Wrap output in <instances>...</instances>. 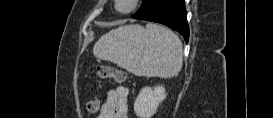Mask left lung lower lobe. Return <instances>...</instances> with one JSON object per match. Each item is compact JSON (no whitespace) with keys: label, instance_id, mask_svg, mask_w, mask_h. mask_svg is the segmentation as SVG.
<instances>
[{"label":"left lung lower lobe","instance_id":"obj_1","mask_svg":"<svg viewBox=\"0 0 273 118\" xmlns=\"http://www.w3.org/2000/svg\"><path fill=\"white\" fill-rule=\"evenodd\" d=\"M141 20L164 24L179 32L188 42L189 27L184 0H164L154 12L146 15Z\"/></svg>","mask_w":273,"mask_h":118}]
</instances>
